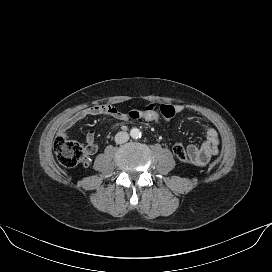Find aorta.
I'll return each mask as SVG.
<instances>
[{
	"instance_id": "obj_1",
	"label": "aorta",
	"mask_w": 272,
	"mask_h": 272,
	"mask_svg": "<svg viewBox=\"0 0 272 272\" xmlns=\"http://www.w3.org/2000/svg\"><path fill=\"white\" fill-rule=\"evenodd\" d=\"M130 136L133 138V139H138L141 137V131L138 129V128H132L130 130Z\"/></svg>"
}]
</instances>
